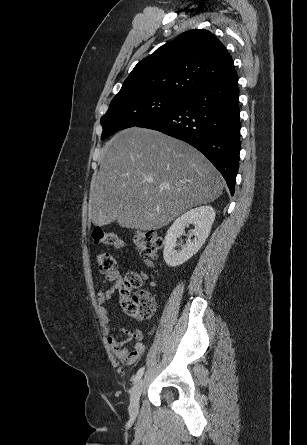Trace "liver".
Here are the masks:
<instances>
[{"instance_id": "obj_1", "label": "liver", "mask_w": 307, "mask_h": 445, "mask_svg": "<svg viewBox=\"0 0 307 445\" xmlns=\"http://www.w3.org/2000/svg\"><path fill=\"white\" fill-rule=\"evenodd\" d=\"M101 154L88 206L96 227L117 220L125 229L157 231L223 192L220 172L202 152L158 130H120Z\"/></svg>"}]
</instances>
